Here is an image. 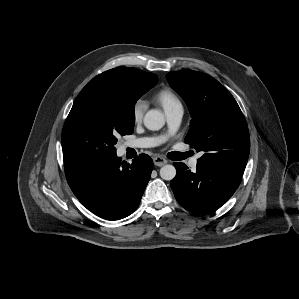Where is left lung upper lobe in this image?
Returning a JSON list of instances; mask_svg holds the SVG:
<instances>
[{"label": "left lung upper lobe", "instance_id": "1", "mask_svg": "<svg viewBox=\"0 0 299 299\" xmlns=\"http://www.w3.org/2000/svg\"><path fill=\"white\" fill-rule=\"evenodd\" d=\"M166 78L189 108L192 120L184 142L204 153L197 164L241 178L250 137L231 93L213 77L193 70L169 72Z\"/></svg>", "mask_w": 299, "mask_h": 299}]
</instances>
